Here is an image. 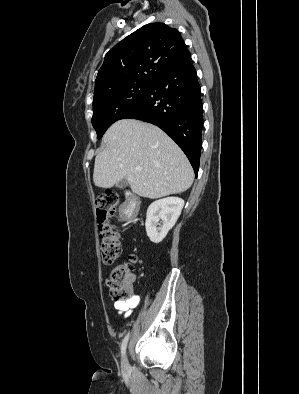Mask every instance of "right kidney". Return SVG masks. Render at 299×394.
Returning a JSON list of instances; mask_svg holds the SVG:
<instances>
[{
  "label": "right kidney",
  "instance_id": "right-kidney-1",
  "mask_svg": "<svg viewBox=\"0 0 299 394\" xmlns=\"http://www.w3.org/2000/svg\"><path fill=\"white\" fill-rule=\"evenodd\" d=\"M184 200L178 197H167L154 201L147 209L145 228L153 243L161 242L168 231L175 225ZM162 220V224L159 221ZM160 225V227H157Z\"/></svg>",
  "mask_w": 299,
  "mask_h": 394
}]
</instances>
